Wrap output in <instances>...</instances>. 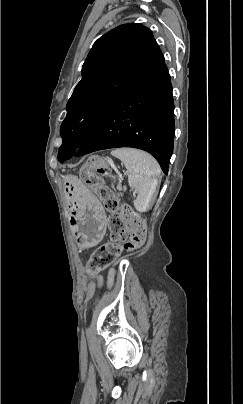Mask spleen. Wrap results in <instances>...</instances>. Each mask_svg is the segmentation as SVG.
<instances>
[{
	"label": "spleen",
	"instance_id": "3e777b00",
	"mask_svg": "<svg viewBox=\"0 0 243 404\" xmlns=\"http://www.w3.org/2000/svg\"><path fill=\"white\" fill-rule=\"evenodd\" d=\"M111 156L119 158L128 172V182L138 196L133 200L137 212H147L152 206L153 194L157 186V178L161 174L160 166L153 156L136 150V148H116Z\"/></svg>",
	"mask_w": 243,
	"mask_h": 404
}]
</instances>
